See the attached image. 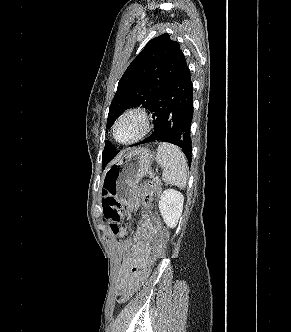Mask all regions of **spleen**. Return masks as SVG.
<instances>
[{
  "mask_svg": "<svg viewBox=\"0 0 291 332\" xmlns=\"http://www.w3.org/2000/svg\"><path fill=\"white\" fill-rule=\"evenodd\" d=\"M155 160L163 168L165 182L180 188L186 186L188 164L179 147L166 142L159 144Z\"/></svg>",
  "mask_w": 291,
  "mask_h": 332,
  "instance_id": "3e777b00",
  "label": "spleen"
}]
</instances>
